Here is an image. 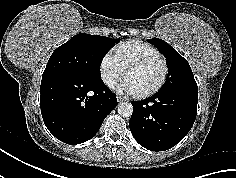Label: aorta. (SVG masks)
<instances>
[{
  "instance_id": "obj_1",
  "label": "aorta",
  "mask_w": 236,
  "mask_h": 178,
  "mask_svg": "<svg viewBox=\"0 0 236 178\" xmlns=\"http://www.w3.org/2000/svg\"><path fill=\"white\" fill-rule=\"evenodd\" d=\"M117 111L123 117H130L133 113V106L129 102H122L118 105Z\"/></svg>"
}]
</instances>
